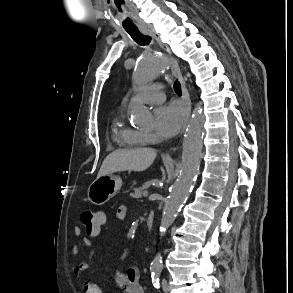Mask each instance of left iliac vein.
<instances>
[{
	"label": "left iliac vein",
	"mask_w": 293,
	"mask_h": 293,
	"mask_svg": "<svg viewBox=\"0 0 293 293\" xmlns=\"http://www.w3.org/2000/svg\"><path fill=\"white\" fill-rule=\"evenodd\" d=\"M162 289L165 293H168L169 292V286H168V283L166 280H163L162 281Z\"/></svg>",
	"instance_id": "left-iliac-vein-1"
}]
</instances>
